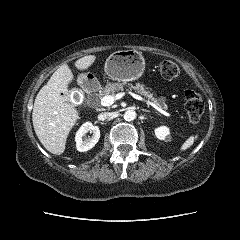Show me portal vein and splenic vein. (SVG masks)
I'll list each match as a JSON object with an SVG mask.
<instances>
[{
  "mask_svg": "<svg viewBox=\"0 0 240 240\" xmlns=\"http://www.w3.org/2000/svg\"><path fill=\"white\" fill-rule=\"evenodd\" d=\"M128 94H130L131 96H133L134 98L138 99V100H143L144 102H146L148 105H150L151 107H153L155 110H157L158 112H160L161 114H163L166 117H170V113L166 112L165 110H163L162 108H160L158 105H156L155 103L149 101V100H145L142 97H140L139 95H135L134 93H132L131 91L128 92ZM123 96H125V93H118L116 94L114 97L110 96V95H106L104 97H102L101 99V105L102 106H111L115 100L121 99Z\"/></svg>",
  "mask_w": 240,
  "mask_h": 240,
  "instance_id": "18ae733b",
  "label": "portal vein and splenic vein"
}]
</instances>
